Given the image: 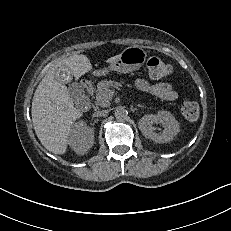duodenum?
<instances>
[{"label":"duodenum","mask_w":231,"mask_h":231,"mask_svg":"<svg viewBox=\"0 0 231 231\" xmlns=\"http://www.w3.org/2000/svg\"><path fill=\"white\" fill-rule=\"evenodd\" d=\"M87 90H88V93H91V92H92V88H91L90 86L87 88ZM84 101L86 102L87 99H85Z\"/></svg>","instance_id":"duodenum-1"}]
</instances>
